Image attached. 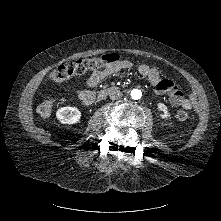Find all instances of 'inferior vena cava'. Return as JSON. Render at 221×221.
I'll list each match as a JSON object with an SVG mask.
<instances>
[{
    "label": "inferior vena cava",
    "mask_w": 221,
    "mask_h": 221,
    "mask_svg": "<svg viewBox=\"0 0 221 221\" xmlns=\"http://www.w3.org/2000/svg\"><path fill=\"white\" fill-rule=\"evenodd\" d=\"M109 97L113 101L118 100L122 97V93L120 92V90L115 89V90L111 91Z\"/></svg>",
    "instance_id": "obj_1"
}]
</instances>
